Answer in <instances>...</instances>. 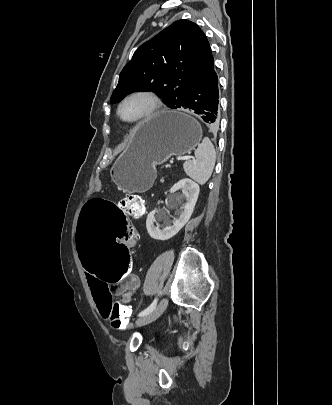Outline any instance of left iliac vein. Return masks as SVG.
I'll return each instance as SVG.
<instances>
[{"label":"left iliac vein","mask_w":332,"mask_h":405,"mask_svg":"<svg viewBox=\"0 0 332 405\" xmlns=\"http://www.w3.org/2000/svg\"><path fill=\"white\" fill-rule=\"evenodd\" d=\"M167 304H168L167 298H163L158 304V306L150 314L137 319L135 325L142 326L155 321L164 312V310L167 307Z\"/></svg>","instance_id":"1"}]
</instances>
